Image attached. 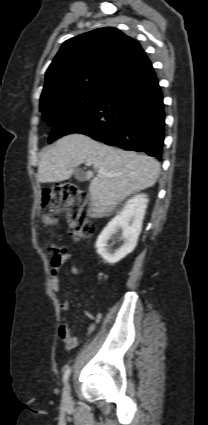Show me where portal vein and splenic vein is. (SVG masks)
Wrapping results in <instances>:
<instances>
[{"instance_id": "obj_1", "label": "portal vein and splenic vein", "mask_w": 208, "mask_h": 425, "mask_svg": "<svg viewBox=\"0 0 208 425\" xmlns=\"http://www.w3.org/2000/svg\"><path fill=\"white\" fill-rule=\"evenodd\" d=\"M86 165H87V166H91V165H92V163H91V162H86ZM99 173L104 174V171L99 170Z\"/></svg>"}]
</instances>
